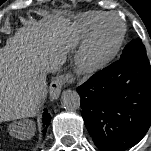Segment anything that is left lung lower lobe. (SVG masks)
<instances>
[{
	"label": "left lung lower lobe",
	"mask_w": 151,
	"mask_h": 151,
	"mask_svg": "<svg viewBox=\"0 0 151 151\" xmlns=\"http://www.w3.org/2000/svg\"><path fill=\"white\" fill-rule=\"evenodd\" d=\"M82 117L101 151L136 145L151 124V66L146 53L119 59L80 85Z\"/></svg>",
	"instance_id": "0a47b994"
}]
</instances>
